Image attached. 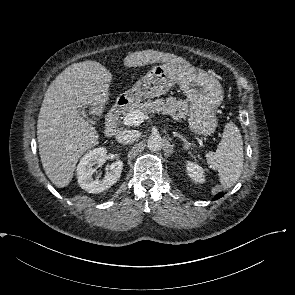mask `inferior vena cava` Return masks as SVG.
I'll return each instance as SVG.
<instances>
[{"mask_svg":"<svg viewBox=\"0 0 295 295\" xmlns=\"http://www.w3.org/2000/svg\"><path fill=\"white\" fill-rule=\"evenodd\" d=\"M139 137H140V133L137 130L119 131L116 134V140L122 144L132 143L135 140H137Z\"/></svg>","mask_w":295,"mask_h":295,"instance_id":"602c4592","label":"inferior vena cava"}]
</instances>
